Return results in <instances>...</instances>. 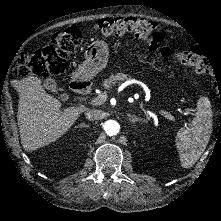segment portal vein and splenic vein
Returning a JSON list of instances; mask_svg holds the SVG:
<instances>
[{
	"instance_id": "portal-vein-and-splenic-vein-1",
	"label": "portal vein and splenic vein",
	"mask_w": 221,
	"mask_h": 221,
	"mask_svg": "<svg viewBox=\"0 0 221 221\" xmlns=\"http://www.w3.org/2000/svg\"><path fill=\"white\" fill-rule=\"evenodd\" d=\"M107 96H108V93H107L106 91H103V92L101 93V95H99L97 98H92V99L90 100V103H91L92 105L101 104L102 102H104V101L106 100V97H107ZM161 114H162L165 118H167V119H169V120H171V121H175L174 116H173L172 114H170L169 112L161 111Z\"/></svg>"
}]
</instances>
